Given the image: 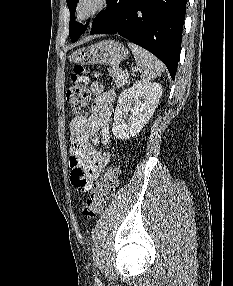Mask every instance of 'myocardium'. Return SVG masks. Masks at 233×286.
Masks as SVG:
<instances>
[{"label":"myocardium","mask_w":233,"mask_h":286,"mask_svg":"<svg viewBox=\"0 0 233 286\" xmlns=\"http://www.w3.org/2000/svg\"><path fill=\"white\" fill-rule=\"evenodd\" d=\"M93 2L94 6L91 11L83 14L82 8L84 5ZM109 4V0H77L75 9H74V17L77 22L83 23L87 22L98 14H100L103 10L107 8Z\"/></svg>","instance_id":"1"}]
</instances>
